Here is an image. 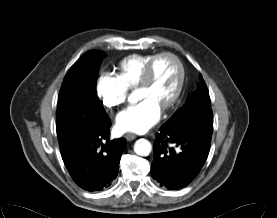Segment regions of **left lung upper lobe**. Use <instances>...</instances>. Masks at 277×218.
I'll use <instances>...</instances> for the list:
<instances>
[{"label": "left lung upper lobe", "instance_id": "left-lung-upper-lobe-1", "mask_svg": "<svg viewBox=\"0 0 277 218\" xmlns=\"http://www.w3.org/2000/svg\"><path fill=\"white\" fill-rule=\"evenodd\" d=\"M213 115L209 91L203 79L197 90L187 99L185 105L174 113L165 123L186 125L193 123H212Z\"/></svg>", "mask_w": 277, "mask_h": 218}]
</instances>
